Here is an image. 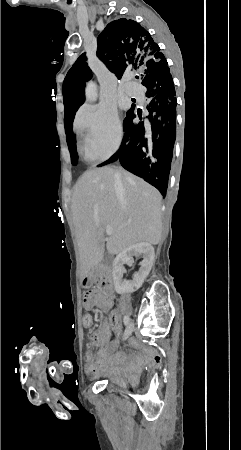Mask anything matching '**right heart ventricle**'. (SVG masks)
<instances>
[{
    "label": "right heart ventricle",
    "instance_id": "right-heart-ventricle-1",
    "mask_svg": "<svg viewBox=\"0 0 241 450\" xmlns=\"http://www.w3.org/2000/svg\"><path fill=\"white\" fill-rule=\"evenodd\" d=\"M81 116H87V114L85 113ZM77 136H78L79 149L84 155L83 149H84L85 138L87 137V130H77ZM84 156L90 162L96 163L99 161V159L95 158V155H84Z\"/></svg>",
    "mask_w": 241,
    "mask_h": 450
}]
</instances>
